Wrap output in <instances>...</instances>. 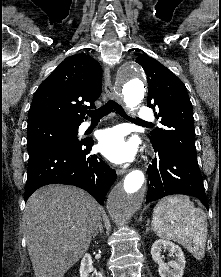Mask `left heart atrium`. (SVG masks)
Returning a JSON list of instances; mask_svg holds the SVG:
<instances>
[{
  "mask_svg": "<svg viewBox=\"0 0 221 277\" xmlns=\"http://www.w3.org/2000/svg\"><path fill=\"white\" fill-rule=\"evenodd\" d=\"M99 149L111 162L124 163L133 159L137 151V144L126 137L120 127L108 128L99 135Z\"/></svg>",
  "mask_w": 221,
  "mask_h": 277,
  "instance_id": "1",
  "label": "left heart atrium"
}]
</instances>
